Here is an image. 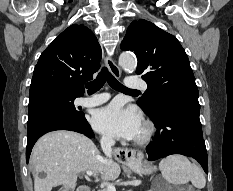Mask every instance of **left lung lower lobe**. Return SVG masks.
<instances>
[{
	"mask_svg": "<svg viewBox=\"0 0 233 191\" xmlns=\"http://www.w3.org/2000/svg\"><path fill=\"white\" fill-rule=\"evenodd\" d=\"M200 108L187 103H162L149 116L157 134L148 145V160L182 154L196 159L208 173L207 151L199 119Z\"/></svg>",
	"mask_w": 233,
	"mask_h": 191,
	"instance_id": "obj_1",
	"label": "left lung lower lobe"
}]
</instances>
